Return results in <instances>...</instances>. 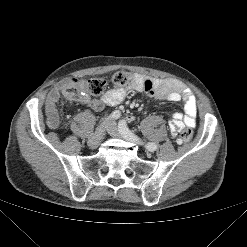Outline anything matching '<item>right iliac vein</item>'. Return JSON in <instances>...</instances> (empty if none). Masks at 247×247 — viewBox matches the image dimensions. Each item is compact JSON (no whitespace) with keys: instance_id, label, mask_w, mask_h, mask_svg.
<instances>
[{"instance_id":"obj_1","label":"right iliac vein","mask_w":247,"mask_h":247,"mask_svg":"<svg viewBox=\"0 0 247 247\" xmlns=\"http://www.w3.org/2000/svg\"><path fill=\"white\" fill-rule=\"evenodd\" d=\"M108 123H109L108 119L105 118L103 120L102 126H100L99 128H97L96 133L94 135H92V136L89 137V139H88V145L91 148H95V147H97L100 144V142L102 140V137L104 135L103 126H106Z\"/></svg>"}]
</instances>
